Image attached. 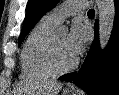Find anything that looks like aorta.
Returning a JSON list of instances; mask_svg holds the SVG:
<instances>
[{
  "mask_svg": "<svg viewBox=\"0 0 119 95\" xmlns=\"http://www.w3.org/2000/svg\"><path fill=\"white\" fill-rule=\"evenodd\" d=\"M99 10V43L100 48H106L113 29L115 6L113 0H95ZM62 29L66 27L62 26Z\"/></svg>",
  "mask_w": 119,
  "mask_h": 95,
  "instance_id": "1",
  "label": "aorta"
}]
</instances>
